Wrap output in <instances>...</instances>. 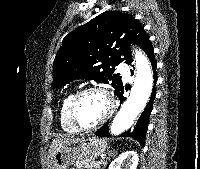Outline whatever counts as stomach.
Here are the masks:
<instances>
[{
    "instance_id": "obj_1",
    "label": "stomach",
    "mask_w": 200,
    "mask_h": 169,
    "mask_svg": "<svg viewBox=\"0 0 200 169\" xmlns=\"http://www.w3.org/2000/svg\"><path fill=\"white\" fill-rule=\"evenodd\" d=\"M107 148V141L96 137L82 140L76 146H63L51 156L49 169H69L76 162L95 160Z\"/></svg>"
}]
</instances>
